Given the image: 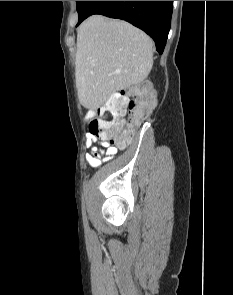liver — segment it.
I'll list each match as a JSON object with an SVG mask.
<instances>
[{"label":"liver","instance_id":"1","mask_svg":"<svg viewBox=\"0 0 233 295\" xmlns=\"http://www.w3.org/2000/svg\"><path fill=\"white\" fill-rule=\"evenodd\" d=\"M153 41L128 22L101 15L78 28L75 79L80 103L97 110L115 92L144 81L153 66Z\"/></svg>","mask_w":233,"mask_h":295}]
</instances>
